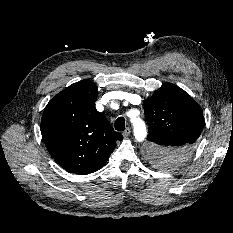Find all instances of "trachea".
I'll return each instance as SVG.
<instances>
[{"label":"trachea","instance_id":"1","mask_svg":"<svg viewBox=\"0 0 233 233\" xmlns=\"http://www.w3.org/2000/svg\"><path fill=\"white\" fill-rule=\"evenodd\" d=\"M115 130L124 131L125 130V119L124 117H119L115 121Z\"/></svg>","mask_w":233,"mask_h":233}]
</instances>
